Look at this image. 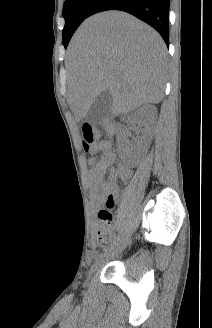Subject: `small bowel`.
<instances>
[{"instance_id":"obj_1","label":"small bowel","mask_w":212,"mask_h":328,"mask_svg":"<svg viewBox=\"0 0 212 328\" xmlns=\"http://www.w3.org/2000/svg\"><path fill=\"white\" fill-rule=\"evenodd\" d=\"M97 150L102 151L100 159L91 157L88 160V164L91 167L89 178L94 186L92 199L95 205L101 204L107 194H115L117 192V177L126 180L131 176V170L117 162L116 155L107 141H101L94 149V151ZM95 225L98 229L100 222H96Z\"/></svg>"}]
</instances>
